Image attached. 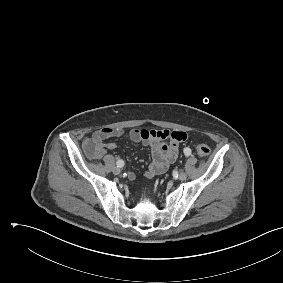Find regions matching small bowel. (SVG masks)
<instances>
[{
    "instance_id": "c3829d8e",
    "label": "small bowel",
    "mask_w": 283,
    "mask_h": 283,
    "mask_svg": "<svg viewBox=\"0 0 283 283\" xmlns=\"http://www.w3.org/2000/svg\"><path fill=\"white\" fill-rule=\"evenodd\" d=\"M110 137L128 139L145 146H150L152 150V162L144 172V176L147 179H152L154 176L165 172L169 165L176 160L179 145L187 139V134L182 131L169 130L132 129L125 131L122 129L103 128L96 131L92 136L93 139L101 144L102 154L105 152V149L114 150L116 148L115 142L103 144V141ZM135 177V173H128L129 179H134Z\"/></svg>"
}]
</instances>
